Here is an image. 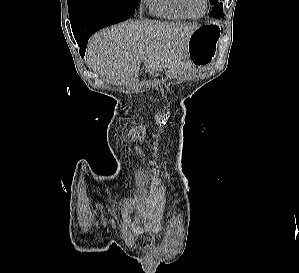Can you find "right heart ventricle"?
Instances as JSON below:
<instances>
[{"label":"right heart ventricle","mask_w":299,"mask_h":273,"mask_svg":"<svg viewBox=\"0 0 299 273\" xmlns=\"http://www.w3.org/2000/svg\"><path fill=\"white\" fill-rule=\"evenodd\" d=\"M152 15L170 20H185L188 15L182 10L179 0H148Z\"/></svg>","instance_id":"right-heart-ventricle-1"}]
</instances>
